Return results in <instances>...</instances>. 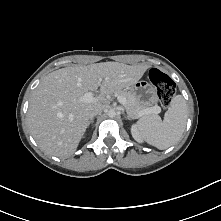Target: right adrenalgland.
Returning <instances> with one entry per match:
<instances>
[{
    "label": "right adrenal gland",
    "mask_w": 221,
    "mask_h": 221,
    "mask_svg": "<svg viewBox=\"0 0 221 221\" xmlns=\"http://www.w3.org/2000/svg\"><path fill=\"white\" fill-rule=\"evenodd\" d=\"M94 118H90V120L88 121V126L93 122Z\"/></svg>",
    "instance_id": "1"
}]
</instances>
